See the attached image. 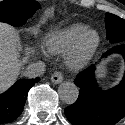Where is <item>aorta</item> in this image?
Returning <instances> with one entry per match:
<instances>
[{
	"instance_id": "762f6f07",
	"label": "aorta",
	"mask_w": 125,
	"mask_h": 125,
	"mask_svg": "<svg viewBox=\"0 0 125 125\" xmlns=\"http://www.w3.org/2000/svg\"><path fill=\"white\" fill-rule=\"evenodd\" d=\"M60 99L66 104H73L79 94L78 87L72 82H63L58 88Z\"/></svg>"
}]
</instances>
